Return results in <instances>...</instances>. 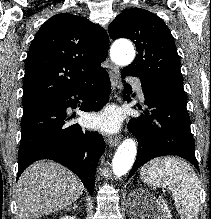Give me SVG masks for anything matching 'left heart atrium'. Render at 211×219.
Here are the masks:
<instances>
[{
	"instance_id": "1",
	"label": "left heart atrium",
	"mask_w": 211,
	"mask_h": 219,
	"mask_svg": "<svg viewBox=\"0 0 211 219\" xmlns=\"http://www.w3.org/2000/svg\"><path fill=\"white\" fill-rule=\"evenodd\" d=\"M89 123L105 132H114L119 127V118L112 111H106L99 116L92 117Z\"/></svg>"
}]
</instances>
